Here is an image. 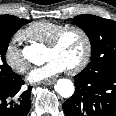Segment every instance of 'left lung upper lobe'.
<instances>
[{
	"label": "left lung upper lobe",
	"instance_id": "5c2ea615",
	"mask_svg": "<svg viewBox=\"0 0 116 116\" xmlns=\"http://www.w3.org/2000/svg\"><path fill=\"white\" fill-rule=\"evenodd\" d=\"M72 23L85 31L91 43V61L85 76L116 73V22L95 15H78Z\"/></svg>",
	"mask_w": 116,
	"mask_h": 116
}]
</instances>
